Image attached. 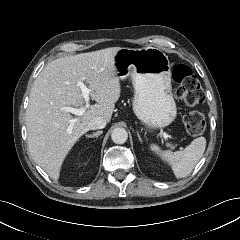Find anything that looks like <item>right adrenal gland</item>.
<instances>
[{
	"label": "right adrenal gland",
	"mask_w": 240,
	"mask_h": 240,
	"mask_svg": "<svg viewBox=\"0 0 240 240\" xmlns=\"http://www.w3.org/2000/svg\"><path fill=\"white\" fill-rule=\"evenodd\" d=\"M102 134V131H97V132H93V134L91 135H86L87 138H98V136Z\"/></svg>",
	"instance_id": "obj_1"
}]
</instances>
